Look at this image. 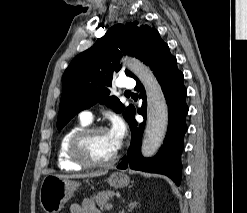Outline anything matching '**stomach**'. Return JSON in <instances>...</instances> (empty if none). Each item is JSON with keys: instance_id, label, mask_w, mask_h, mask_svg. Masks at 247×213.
Instances as JSON below:
<instances>
[{"instance_id": "stomach-1", "label": "stomach", "mask_w": 247, "mask_h": 213, "mask_svg": "<svg viewBox=\"0 0 247 213\" xmlns=\"http://www.w3.org/2000/svg\"><path fill=\"white\" fill-rule=\"evenodd\" d=\"M107 181L114 188H123L129 184L130 178L123 172H114ZM79 186L80 183L76 181L55 175L46 176L40 187V205L42 209L45 213H59Z\"/></svg>"}]
</instances>
